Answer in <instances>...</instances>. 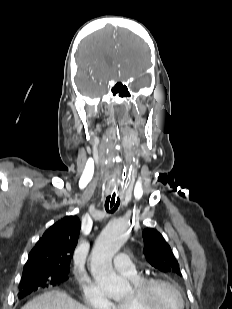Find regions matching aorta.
Listing matches in <instances>:
<instances>
[{"label": "aorta", "mask_w": 232, "mask_h": 309, "mask_svg": "<svg viewBox=\"0 0 232 309\" xmlns=\"http://www.w3.org/2000/svg\"><path fill=\"white\" fill-rule=\"evenodd\" d=\"M128 239V224L112 220L100 233L91 252V272L98 285L115 300H121L129 290V282L118 276L112 267V258Z\"/></svg>", "instance_id": "obj_1"}]
</instances>
